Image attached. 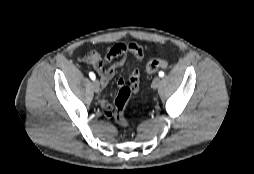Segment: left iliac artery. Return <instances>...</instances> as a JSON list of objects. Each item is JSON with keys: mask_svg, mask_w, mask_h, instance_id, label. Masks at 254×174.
Returning <instances> with one entry per match:
<instances>
[{"mask_svg": "<svg viewBox=\"0 0 254 174\" xmlns=\"http://www.w3.org/2000/svg\"><path fill=\"white\" fill-rule=\"evenodd\" d=\"M159 76H160V77H163V76H164V72H163V71H160V72H159Z\"/></svg>", "mask_w": 254, "mask_h": 174, "instance_id": "44dca946", "label": "left iliac artery"}]
</instances>
